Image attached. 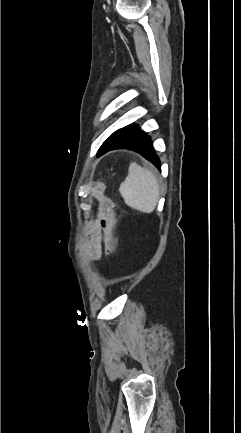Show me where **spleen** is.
<instances>
[{
  "label": "spleen",
  "mask_w": 241,
  "mask_h": 433,
  "mask_svg": "<svg viewBox=\"0 0 241 433\" xmlns=\"http://www.w3.org/2000/svg\"><path fill=\"white\" fill-rule=\"evenodd\" d=\"M119 192L129 207L151 213L158 202L159 184L152 172L133 162Z\"/></svg>",
  "instance_id": "1"
}]
</instances>
